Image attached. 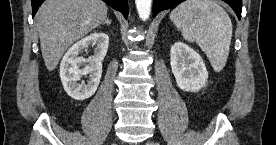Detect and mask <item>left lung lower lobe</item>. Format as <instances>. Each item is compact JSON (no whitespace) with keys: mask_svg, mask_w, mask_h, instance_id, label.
Segmentation results:
<instances>
[{"mask_svg":"<svg viewBox=\"0 0 276 145\" xmlns=\"http://www.w3.org/2000/svg\"><path fill=\"white\" fill-rule=\"evenodd\" d=\"M183 1L185 0H153V16L155 17L160 11L172 8ZM224 1L231 6V8L237 14L238 19L240 20L242 11V0Z\"/></svg>","mask_w":276,"mask_h":145,"instance_id":"left-lung-lower-lobe-1","label":"left lung lower lobe"}]
</instances>
